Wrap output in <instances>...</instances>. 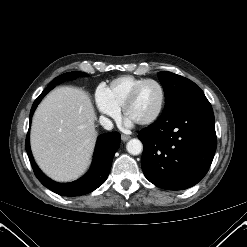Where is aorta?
Masks as SVG:
<instances>
[{
  "instance_id": "aorta-1",
  "label": "aorta",
  "mask_w": 247,
  "mask_h": 247,
  "mask_svg": "<svg viewBox=\"0 0 247 247\" xmlns=\"http://www.w3.org/2000/svg\"><path fill=\"white\" fill-rule=\"evenodd\" d=\"M127 151L132 155H139L142 152L143 145L138 139H131L126 145Z\"/></svg>"
}]
</instances>
